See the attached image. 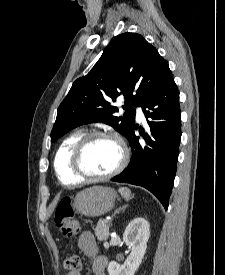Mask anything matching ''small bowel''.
Returning a JSON list of instances; mask_svg holds the SVG:
<instances>
[{"label":"small bowel","mask_w":225,"mask_h":275,"mask_svg":"<svg viewBox=\"0 0 225 275\" xmlns=\"http://www.w3.org/2000/svg\"><path fill=\"white\" fill-rule=\"evenodd\" d=\"M78 248L91 258L93 275H106L107 259L99 254V248L91 232H83L78 240ZM66 275H81L80 272L69 271Z\"/></svg>","instance_id":"small-bowel-1"}]
</instances>
